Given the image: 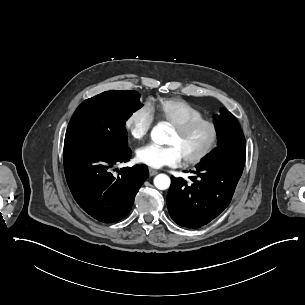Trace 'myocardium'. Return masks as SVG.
Instances as JSON below:
<instances>
[{"label": "myocardium", "instance_id": "f54148a6", "mask_svg": "<svg viewBox=\"0 0 305 305\" xmlns=\"http://www.w3.org/2000/svg\"><path fill=\"white\" fill-rule=\"evenodd\" d=\"M200 125H207L211 128L212 139L199 154L183 158L184 162L188 165L199 164L205 161L215 151L221 138L220 126L215 120L210 118H198L173 124V128L180 133H187Z\"/></svg>", "mask_w": 305, "mask_h": 305}]
</instances>
